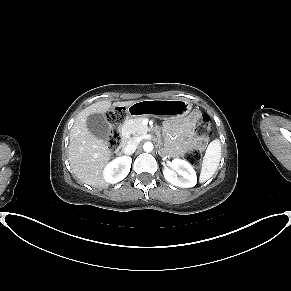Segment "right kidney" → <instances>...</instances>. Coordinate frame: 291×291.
Masks as SVG:
<instances>
[{
  "label": "right kidney",
  "mask_w": 291,
  "mask_h": 291,
  "mask_svg": "<svg viewBox=\"0 0 291 291\" xmlns=\"http://www.w3.org/2000/svg\"><path fill=\"white\" fill-rule=\"evenodd\" d=\"M131 163L132 159L128 156L113 159L103 170L105 181L115 184L123 180L129 174Z\"/></svg>",
  "instance_id": "ca27d5eb"
}]
</instances>
